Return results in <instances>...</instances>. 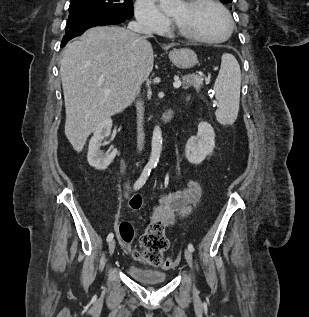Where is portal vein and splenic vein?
<instances>
[{
	"label": "portal vein and splenic vein",
	"mask_w": 309,
	"mask_h": 317,
	"mask_svg": "<svg viewBox=\"0 0 309 317\" xmlns=\"http://www.w3.org/2000/svg\"><path fill=\"white\" fill-rule=\"evenodd\" d=\"M200 83L202 84V80H200ZM182 85V82L180 80H176L174 83H173V87L175 89H178L180 86ZM110 90L109 89H106L105 90V93H109Z\"/></svg>",
	"instance_id": "18ae733b"
}]
</instances>
